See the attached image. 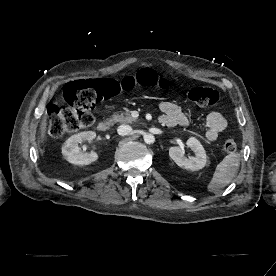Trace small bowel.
<instances>
[{"mask_svg": "<svg viewBox=\"0 0 276 276\" xmlns=\"http://www.w3.org/2000/svg\"><path fill=\"white\" fill-rule=\"evenodd\" d=\"M160 110L163 115L160 117V123L168 126H186L189 124V119L184 113L182 108L172 102H162L160 104ZM206 124L208 129L206 130L205 137L208 141H215L219 134L223 132L227 127V121L217 111H211L206 115Z\"/></svg>", "mask_w": 276, "mask_h": 276, "instance_id": "small-bowel-1", "label": "small bowel"}]
</instances>
